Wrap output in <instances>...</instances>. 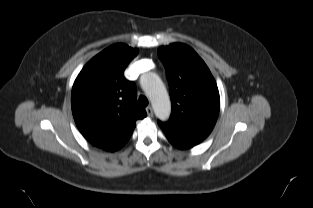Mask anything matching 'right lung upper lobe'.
I'll list each match as a JSON object with an SVG mask.
<instances>
[{
	"label": "right lung upper lobe",
	"mask_w": 313,
	"mask_h": 208,
	"mask_svg": "<svg viewBox=\"0 0 313 208\" xmlns=\"http://www.w3.org/2000/svg\"><path fill=\"white\" fill-rule=\"evenodd\" d=\"M138 54L125 44H114L93 57L77 76L71 94L75 123L94 146L119 149L129 140L136 120L147 116L136 99L134 82L124 77Z\"/></svg>",
	"instance_id": "cb5924a9"
}]
</instances>
